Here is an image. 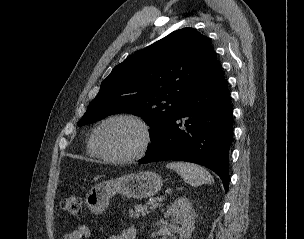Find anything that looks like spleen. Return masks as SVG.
<instances>
[{
  "label": "spleen",
  "instance_id": "obj_1",
  "mask_svg": "<svg viewBox=\"0 0 304 239\" xmlns=\"http://www.w3.org/2000/svg\"><path fill=\"white\" fill-rule=\"evenodd\" d=\"M167 168L177 172L191 186L211 184L214 182L211 174L202 166L187 162H170Z\"/></svg>",
  "mask_w": 304,
  "mask_h": 239
}]
</instances>
